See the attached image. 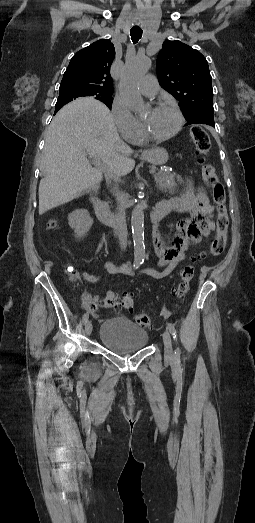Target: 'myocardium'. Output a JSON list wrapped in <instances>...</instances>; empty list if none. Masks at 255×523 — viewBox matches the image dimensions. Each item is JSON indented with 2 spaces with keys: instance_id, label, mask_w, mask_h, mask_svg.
Masks as SVG:
<instances>
[{
  "instance_id": "1",
  "label": "myocardium",
  "mask_w": 255,
  "mask_h": 523,
  "mask_svg": "<svg viewBox=\"0 0 255 523\" xmlns=\"http://www.w3.org/2000/svg\"><path fill=\"white\" fill-rule=\"evenodd\" d=\"M162 106H170L175 111V113L177 115V118H178V124H177L175 130L173 132H171L170 134L165 135V136L152 137V136H149L146 133L142 123H140L139 136H140L142 141H145V142H163V141H167V140L172 139L173 137H175L181 131V129H182L183 125H184V116H183V113L180 110L179 106L176 103L172 102V101L165 100V101H160V102L156 103L155 105H153L152 109L156 110V109H158V108H160Z\"/></svg>"
}]
</instances>
